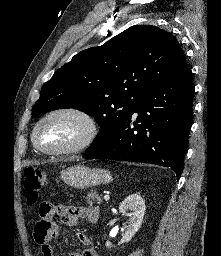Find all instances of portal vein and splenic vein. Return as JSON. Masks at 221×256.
Here are the masks:
<instances>
[{"label": "portal vein and splenic vein", "mask_w": 221, "mask_h": 256, "mask_svg": "<svg viewBox=\"0 0 221 256\" xmlns=\"http://www.w3.org/2000/svg\"><path fill=\"white\" fill-rule=\"evenodd\" d=\"M109 199H110V196H109L108 194H105V195H104V200H105V201H108Z\"/></svg>", "instance_id": "portal-vein-and-splenic-vein-1"}]
</instances>
